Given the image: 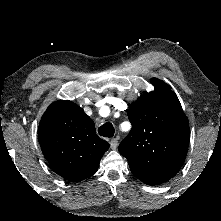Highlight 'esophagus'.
<instances>
[{
	"mask_svg": "<svg viewBox=\"0 0 221 221\" xmlns=\"http://www.w3.org/2000/svg\"><path fill=\"white\" fill-rule=\"evenodd\" d=\"M117 146H118V139H116V138L111 139V140H110V147H111L112 149H116Z\"/></svg>",
	"mask_w": 221,
	"mask_h": 221,
	"instance_id": "esophagus-1",
	"label": "esophagus"
}]
</instances>
